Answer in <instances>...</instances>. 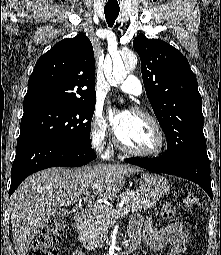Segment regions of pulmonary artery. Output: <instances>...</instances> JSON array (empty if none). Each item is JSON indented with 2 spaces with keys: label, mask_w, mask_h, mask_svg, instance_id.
<instances>
[{
  "label": "pulmonary artery",
  "mask_w": 221,
  "mask_h": 255,
  "mask_svg": "<svg viewBox=\"0 0 221 255\" xmlns=\"http://www.w3.org/2000/svg\"><path fill=\"white\" fill-rule=\"evenodd\" d=\"M118 88L130 95L140 96L142 93V85L139 79L133 75L128 76Z\"/></svg>",
  "instance_id": "pulmonary-artery-1"
}]
</instances>
